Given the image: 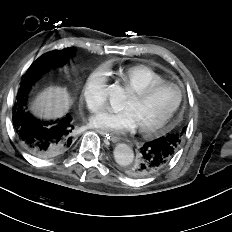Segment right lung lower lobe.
<instances>
[{
	"label": "right lung lower lobe",
	"mask_w": 232,
	"mask_h": 232,
	"mask_svg": "<svg viewBox=\"0 0 232 232\" xmlns=\"http://www.w3.org/2000/svg\"><path fill=\"white\" fill-rule=\"evenodd\" d=\"M31 86L20 87L13 107V125L17 137L29 153L39 158L59 156L70 149L74 124L69 114L56 121L37 119L26 111Z\"/></svg>",
	"instance_id": "obj_1"
}]
</instances>
